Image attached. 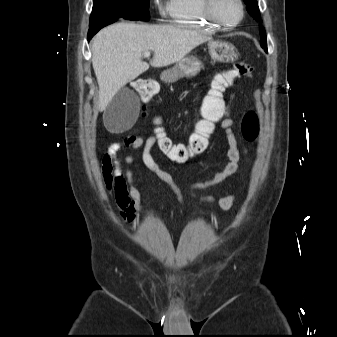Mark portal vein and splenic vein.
<instances>
[{"mask_svg": "<svg viewBox=\"0 0 337 337\" xmlns=\"http://www.w3.org/2000/svg\"><path fill=\"white\" fill-rule=\"evenodd\" d=\"M144 57H150V52H145Z\"/></svg>", "mask_w": 337, "mask_h": 337, "instance_id": "1", "label": "portal vein and splenic vein"}]
</instances>
